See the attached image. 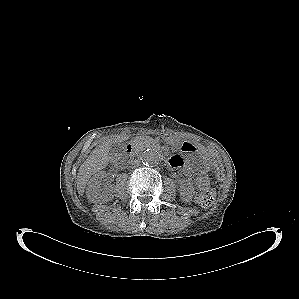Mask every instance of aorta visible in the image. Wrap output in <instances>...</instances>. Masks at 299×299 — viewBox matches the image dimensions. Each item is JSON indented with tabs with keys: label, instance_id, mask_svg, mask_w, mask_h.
Segmentation results:
<instances>
[{
	"label": "aorta",
	"instance_id": "aorta-1",
	"mask_svg": "<svg viewBox=\"0 0 299 299\" xmlns=\"http://www.w3.org/2000/svg\"><path fill=\"white\" fill-rule=\"evenodd\" d=\"M142 161L146 165H156L160 161V154L156 149H147L142 154Z\"/></svg>",
	"mask_w": 299,
	"mask_h": 299
}]
</instances>
